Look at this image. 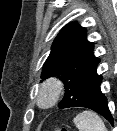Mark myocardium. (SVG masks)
I'll return each instance as SVG.
<instances>
[{
    "label": "myocardium",
    "mask_w": 117,
    "mask_h": 131,
    "mask_svg": "<svg viewBox=\"0 0 117 131\" xmlns=\"http://www.w3.org/2000/svg\"><path fill=\"white\" fill-rule=\"evenodd\" d=\"M64 92L63 82L57 78L44 81L35 93V103L43 110L53 107Z\"/></svg>",
    "instance_id": "1"
}]
</instances>
